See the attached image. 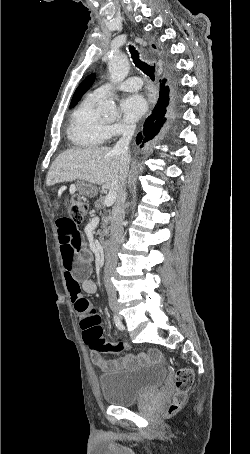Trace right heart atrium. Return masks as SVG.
<instances>
[{
    "label": "right heart atrium",
    "instance_id": "d8ad5b80",
    "mask_svg": "<svg viewBox=\"0 0 250 454\" xmlns=\"http://www.w3.org/2000/svg\"><path fill=\"white\" fill-rule=\"evenodd\" d=\"M109 132L112 135H119L125 133L129 128L122 124H114L108 126Z\"/></svg>",
    "mask_w": 250,
    "mask_h": 454
}]
</instances>
